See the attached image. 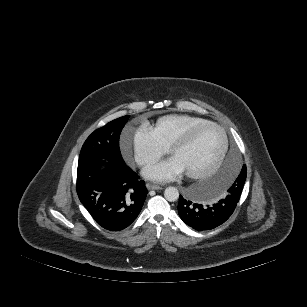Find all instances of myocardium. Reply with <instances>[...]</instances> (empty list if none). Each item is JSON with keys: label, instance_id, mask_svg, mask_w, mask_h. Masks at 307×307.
<instances>
[{"label": "myocardium", "instance_id": "obj_1", "mask_svg": "<svg viewBox=\"0 0 307 307\" xmlns=\"http://www.w3.org/2000/svg\"><path fill=\"white\" fill-rule=\"evenodd\" d=\"M206 127H214L216 129L219 130L221 136H222V140H223V144H222V149L218 155V157L216 158L215 162L213 163V165L211 167H209L206 170L203 171H199V172H186V176L192 179H202V178H206L211 176L212 174H214L219 167L221 166L227 152L229 149V138L228 135L225 131V129L218 123L216 122H212V121H208L199 125H196L194 127H192L188 132H186L184 135H182L181 137H179L177 140H175L169 149V153L171 155H173L175 153V151H177L178 149L188 145L197 135V133L201 130H203Z\"/></svg>", "mask_w": 307, "mask_h": 307}]
</instances>
